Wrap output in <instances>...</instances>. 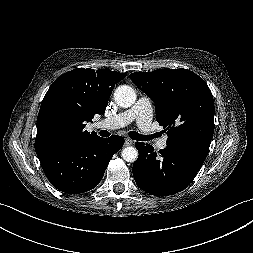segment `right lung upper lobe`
<instances>
[{
  "mask_svg": "<svg viewBox=\"0 0 253 253\" xmlns=\"http://www.w3.org/2000/svg\"><path fill=\"white\" fill-rule=\"evenodd\" d=\"M126 76L108 69L77 68L59 76L47 91L37 118L38 155L60 145L99 137L85 130L95 114L103 115L112 90Z\"/></svg>",
  "mask_w": 253,
  "mask_h": 253,
  "instance_id": "right-lung-upper-lobe-1",
  "label": "right lung upper lobe"
}]
</instances>
